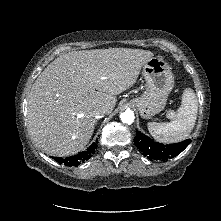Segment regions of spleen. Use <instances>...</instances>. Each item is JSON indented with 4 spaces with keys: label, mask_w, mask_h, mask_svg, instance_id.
Here are the masks:
<instances>
[{
    "label": "spleen",
    "mask_w": 221,
    "mask_h": 221,
    "mask_svg": "<svg viewBox=\"0 0 221 221\" xmlns=\"http://www.w3.org/2000/svg\"><path fill=\"white\" fill-rule=\"evenodd\" d=\"M198 101L194 91L186 88L175 118L169 123L149 122L151 136L162 143H175L187 138L195 126Z\"/></svg>",
    "instance_id": "3e777b00"
}]
</instances>
